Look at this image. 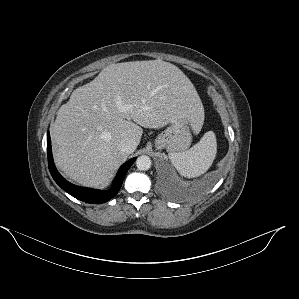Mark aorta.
<instances>
[{
	"label": "aorta",
	"instance_id": "obj_1",
	"mask_svg": "<svg viewBox=\"0 0 299 299\" xmlns=\"http://www.w3.org/2000/svg\"><path fill=\"white\" fill-rule=\"evenodd\" d=\"M136 166L141 171L149 170L151 168V159L146 155L139 156L136 160Z\"/></svg>",
	"mask_w": 299,
	"mask_h": 299
}]
</instances>
